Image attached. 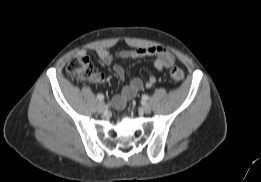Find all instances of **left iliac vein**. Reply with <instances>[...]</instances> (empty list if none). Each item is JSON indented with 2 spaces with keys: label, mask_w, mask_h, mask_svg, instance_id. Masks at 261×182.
<instances>
[{
  "label": "left iliac vein",
  "mask_w": 261,
  "mask_h": 182,
  "mask_svg": "<svg viewBox=\"0 0 261 182\" xmlns=\"http://www.w3.org/2000/svg\"><path fill=\"white\" fill-rule=\"evenodd\" d=\"M142 109H143V112L146 114H149L151 112V107L147 103L143 104Z\"/></svg>",
  "instance_id": "obj_1"
}]
</instances>
